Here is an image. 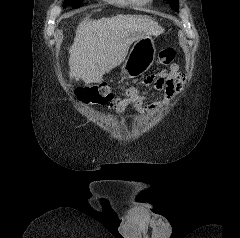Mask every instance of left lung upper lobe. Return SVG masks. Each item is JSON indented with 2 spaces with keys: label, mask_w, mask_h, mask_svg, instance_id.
<instances>
[{
  "label": "left lung upper lobe",
  "mask_w": 240,
  "mask_h": 238,
  "mask_svg": "<svg viewBox=\"0 0 240 238\" xmlns=\"http://www.w3.org/2000/svg\"><path fill=\"white\" fill-rule=\"evenodd\" d=\"M167 1L170 3L171 8L177 12L179 9L178 0H167Z\"/></svg>",
  "instance_id": "left-lung-upper-lobe-1"
}]
</instances>
